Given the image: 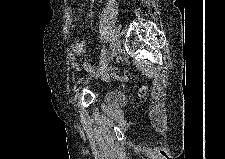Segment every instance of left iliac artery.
Segmentation results:
<instances>
[{"instance_id":"1","label":"left iliac artery","mask_w":225,"mask_h":159,"mask_svg":"<svg viewBox=\"0 0 225 159\" xmlns=\"http://www.w3.org/2000/svg\"><path fill=\"white\" fill-rule=\"evenodd\" d=\"M113 42H114V40L112 39L111 42L108 44V47L109 48H112L113 47V44H114Z\"/></svg>"}]
</instances>
